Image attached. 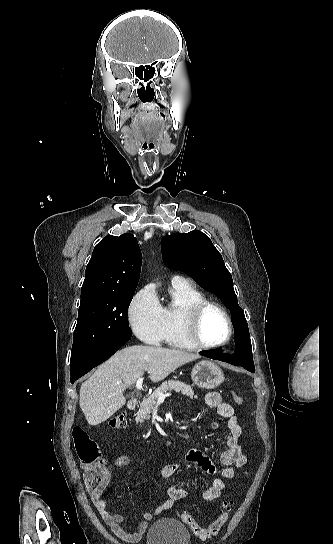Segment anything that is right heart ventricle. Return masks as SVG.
Wrapping results in <instances>:
<instances>
[{"mask_svg": "<svg viewBox=\"0 0 333 544\" xmlns=\"http://www.w3.org/2000/svg\"><path fill=\"white\" fill-rule=\"evenodd\" d=\"M172 302L163 307L165 317L164 341L173 347L193 349L195 346L187 339L183 328V315L193 304L205 299L202 292L191 284H172Z\"/></svg>", "mask_w": 333, "mask_h": 544, "instance_id": "1", "label": "right heart ventricle"}]
</instances>
